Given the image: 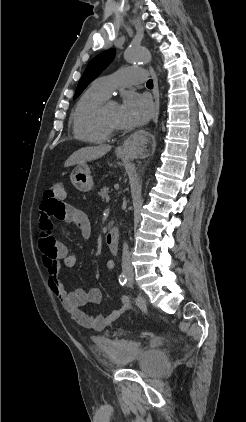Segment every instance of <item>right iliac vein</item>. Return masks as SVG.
Returning <instances> with one entry per match:
<instances>
[{
  "mask_svg": "<svg viewBox=\"0 0 246 422\" xmlns=\"http://www.w3.org/2000/svg\"><path fill=\"white\" fill-rule=\"evenodd\" d=\"M127 278H128V280H129L131 283H134V276H133V274L128 273V274H127Z\"/></svg>",
  "mask_w": 246,
  "mask_h": 422,
  "instance_id": "1",
  "label": "right iliac vein"
}]
</instances>
